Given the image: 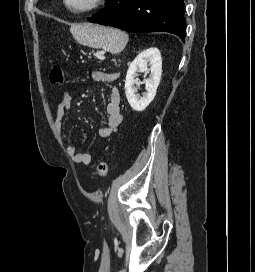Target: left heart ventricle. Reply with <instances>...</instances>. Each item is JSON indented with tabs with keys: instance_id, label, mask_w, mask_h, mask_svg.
Masks as SVG:
<instances>
[{
	"instance_id": "b2bd125f",
	"label": "left heart ventricle",
	"mask_w": 255,
	"mask_h": 272,
	"mask_svg": "<svg viewBox=\"0 0 255 272\" xmlns=\"http://www.w3.org/2000/svg\"><path fill=\"white\" fill-rule=\"evenodd\" d=\"M70 4L75 8H83L91 4L93 0H69Z\"/></svg>"
}]
</instances>
